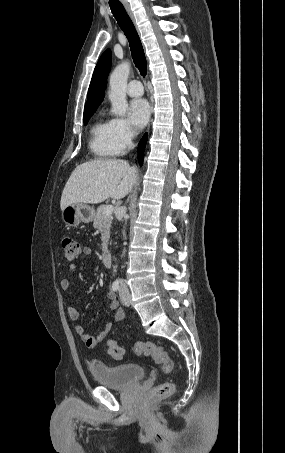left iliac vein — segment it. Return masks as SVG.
Returning <instances> with one entry per match:
<instances>
[{"instance_id":"left-iliac-vein-1","label":"left iliac vein","mask_w":285,"mask_h":453,"mask_svg":"<svg viewBox=\"0 0 285 453\" xmlns=\"http://www.w3.org/2000/svg\"><path fill=\"white\" fill-rule=\"evenodd\" d=\"M119 296H120V300L123 303V305L129 307L131 304L130 293H129L128 287L125 283H122L120 286Z\"/></svg>"}]
</instances>
